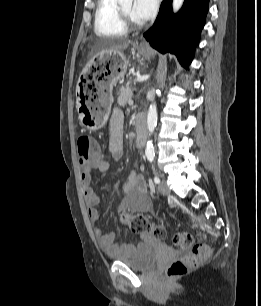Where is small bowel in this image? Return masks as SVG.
<instances>
[{
    "label": "small bowel",
    "instance_id": "c3829d8e",
    "mask_svg": "<svg viewBox=\"0 0 261 306\" xmlns=\"http://www.w3.org/2000/svg\"><path fill=\"white\" fill-rule=\"evenodd\" d=\"M123 126L124 114L120 109H114L110 121L109 132L110 139L108 143V152L110 160H100L83 167L80 175L82 192L88 211L89 219L96 223L101 218V212L97 208L99 198L92 187V173L107 171L112 163L119 162L124 155L123 146ZM124 198L119 206L121 209H129L137 213H146L150 211V204L146 200L147 184L144 177L136 170H133L126 182L122 184ZM94 234L98 239L101 248L108 253H124L129 251L132 246L129 244H118L115 233H104L99 226L94 228Z\"/></svg>",
    "mask_w": 261,
    "mask_h": 306
}]
</instances>
